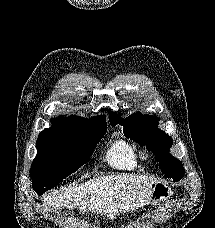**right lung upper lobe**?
Instances as JSON below:
<instances>
[{"label": "right lung upper lobe", "mask_w": 215, "mask_h": 228, "mask_svg": "<svg viewBox=\"0 0 215 228\" xmlns=\"http://www.w3.org/2000/svg\"><path fill=\"white\" fill-rule=\"evenodd\" d=\"M51 121L53 123V126L49 129H45L40 134L53 131V130L64 129V128L88 126V125H95V124H106V121L102 116L101 117L97 116L92 118L91 120H88L74 115V116L64 117L60 119H52Z\"/></svg>", "instance_id": "obj_1"}]
</instances>
